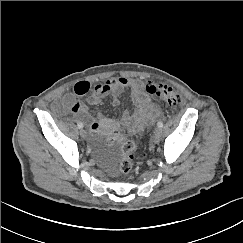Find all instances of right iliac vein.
Here are the masks:
<instances>
[{
  "label": "right iliac vein",
  "instance_id": "right-iliac-vein-1",
  "mask_svg": "<svg viewBox=\"0 0 243 243\" xmlns=\"http://www.w3.org/2000/svg\"><path fill=\"white\" fill-rule=\"evenodd\" d=\"M80 136H81L82 138H85V137L87 136V132H86L84 129H81V130H80Z\"/></svg>",
  "mask_w": 243,
  "mask_h": 243
}]
</instances>
